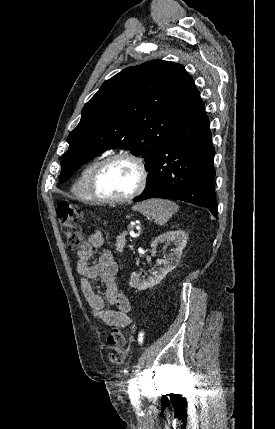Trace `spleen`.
I'll return each mask as SVG.
<instances>
[{
  "label": "spleen",
  "mask_w": 275,
  "mask_h": 429,
  "mask_svg": "<svg viewBox=\"0 0 275 429\" xmlns=\"http://www.w3.org/2000/svg\"><path fill=\"white\" fill-rule=\"evenodd\" d=\"M132 209L153 218L156 224L164 225L179 207L170 200L153 198L134 205Z\"/></svg>",
  "instance_id": "3e777b00"
}]
</instances>
